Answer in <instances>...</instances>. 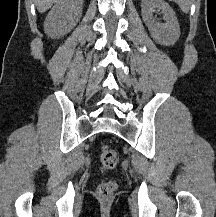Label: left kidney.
I'll list each match as a JSON object with an SVG mask.
<instances>
[{
  "mask_svg": "<svg viewBox=\"0 0 216 217\" xmlns=\"http://www.w3.org/2000/svg\"><path fill=\"white\" fill-rule=\"evenodd\" d=\"M162 11L166 23L160 24L153 18L155 9ZM142 18L151 37L161 45H173L180 37V27L173 9L162 0H142Z\"/></svg>",
  "mask_w": 216,
  "mask_h": 217,
  "instance_id": "left-kidney-1",
  "label": "left kidney"
}]
</instances>
